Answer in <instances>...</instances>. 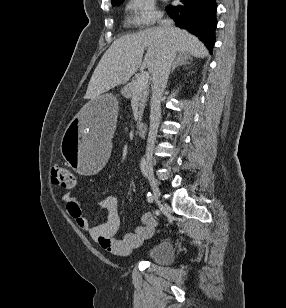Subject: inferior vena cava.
Returning <instances> with one entry per match:
<instances>
[{"label":"inferior vena cava","mask_w":286,"mask_h":308,"mask_svg":"<svg viewBox=\"0 0 286 308\" xmlns=\"http://www.w3.org/2000/svg\"><path fill=\"white\" fill-rule=\"evenodd\" d=\"M160 25L166 31L172 33L174 31L173 22L171 20H160ZM177 49L170 38L167 42V46L164 53L156 64L152 73V98H151V110H150V129L147 140V158L151 159V152L155 144L157 131L161 118V98L166 88L171 66L176 57Z\"/></svg>","instance_id":"602c4592"}]
</instances>
